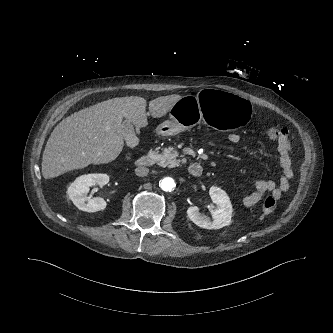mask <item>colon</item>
Returning <instances> with one entry per match:
<instances>
[{"label": "colon", "instance_id": "1", "mask_svg": "<svg viewBox=\"0 0 333 333\" xmlns=\"http://www.w3.org/2000/svg\"><path fill=\"white\" fill-rule=\"evenodd\" d=\"M282 134V131L278 128H269L267 131V136L272 141H277ZM276 208V200L274 197H267L264 200L262 205V214L269 215L271 214Z\"/></svg>", "mask_w": 333, "mask_h": 333}]
</instances>
